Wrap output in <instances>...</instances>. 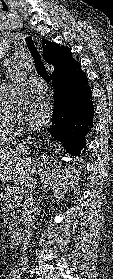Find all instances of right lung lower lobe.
<instances>
[{
	"instance_id": "98d812e1",
	"label": "right lung lower lobe",
	"mask_w": 113,
	"mask_h": 279,
	"mask_svg": "<svg viewBox=\"0 0 113 279\" xmlns=\"http://www.w3.org/2000/svg\"><path fill=\"white\" fill-rule=\"evenodd\" d=\"M51 80L54 109L48 131L55 141H61L68 153L79 157L86 144L85 136L93 127L94 106L87 76L79 64Z\"/></svg>"
}]
</instances>
